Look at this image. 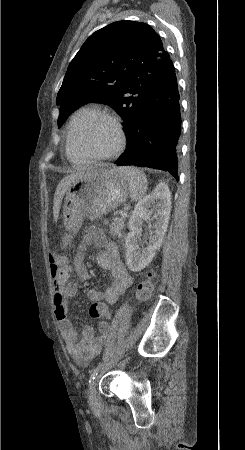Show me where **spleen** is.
I'll return each mask as SVG.
<instances>
[{"instance_id":"1","label":"spleen","mask_w":245,"mask_h":450,"mask_svg":"<svg viewBox=\"0 0 245 450\" xmlns=\"http://www.w3.org/2000/svg\"><path fill=\"white\" fill-rule=\"evenodd\" d=\"M119 171L128 182L130 198L133 201L141 200L145 196L148 187L146 175L135 167H120Z\"/></svg>"}]
</instances>
